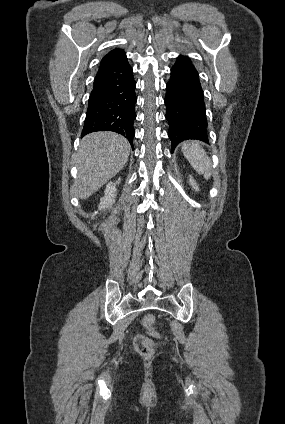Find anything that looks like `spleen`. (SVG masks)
Returning <instances> with one entry per match:
<instances>
[{
    "instance_id": "obj_1",
    "label": "spleen",
    "mask_w": 285,
    "mask_h": 424,
    "mask_svg": "<svg viewBox=\"0 0 285 424\" xmlns=\"http://www.w3.org/2000/svg\"><path fill=\"white\" fill-rule=\"evenodd\" d=\"M181 151L198 173L204 174L206 179L210 178L211 161L198 141H185Z\"/></svg>"
}]
</instances>
